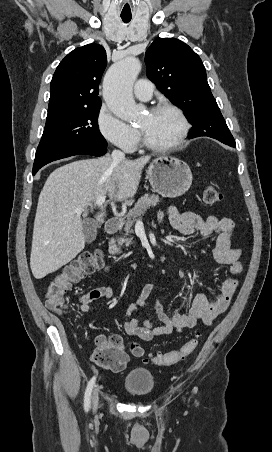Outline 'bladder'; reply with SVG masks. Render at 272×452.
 <instances>
[{
	"instance_id": "bladder-1",
	"label": "bladder",
	"mask_w": 272,
	"mask_h": 452,
	"mask_svg": "<svg viewBox=\"0 0 272 452\" xmlns=\"http://www.w3.org/2000/svg\"><path fill=\"white\" fill-rule=\"evenodd\" d=\"M123 386L134 397H146L154 390L153 374L145 368H132L126 373Z\"/></svg>"
}]
</instances>
